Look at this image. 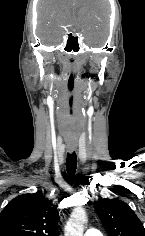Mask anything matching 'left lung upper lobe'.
I'll list each match as a JSON object with an SVG mask.
<instances>
[{
    "label": "left lung upper lobe",
    "instance_id": "obj_1",
    "mask_svg": "<svg viewBox=\"0 0 145 236\" xmlns=\"http://www.w3.org/2000/svg\"><path fill=\"white\" fill-rule=\"evenodd\" d=\"M94 207L109 236H145L142 222L125 202L102 199Z\"/></svg>",
    "mask_w": 145,
    "mask_h": 236
}]
</instances>
